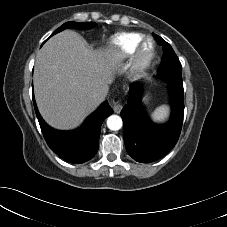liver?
<instances>
[{
    "instance_id": "1",
    "label": "liver",
    "mask_w": 227,
    "mask_h": 227,
    "mask_svg": "<svg viewBox=\"0 0 227 227\" xmlns=\"http://www.w3.org/2000/svg\"><path fill=\"white\" fill-rule=\"evenodd\" d=\"M120 65L113 50H93L74 31L54 35L35 61L34 93L42 117L54 128L77 127L99 104L93 93L108 92Z\"/></svg>"
}]
</instances>
